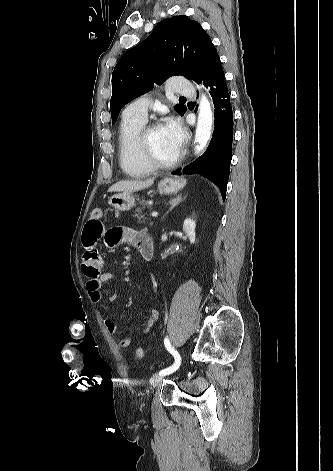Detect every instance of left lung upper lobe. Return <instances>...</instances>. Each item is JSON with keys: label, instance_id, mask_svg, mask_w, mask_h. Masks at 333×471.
Wrapping results in <instances>:
<instances>
[{"label": "left lung upper lobe", "instance_id": "obj_1", "mask_svg": "<svg viewBox=\"0 0 333 471\" xmlns=\"http://www.w3.org/2000/svg\"><path fill=\"white\" fill-rule=\"evenodd\" d=\"M216 52L201 25L187 16H174L159 22L139 45L128 50L112 74L110 102L112 124L120 110L134 98L160 85L173 75L197 81ZM183 115L187 108L175 105Z\"/></svg>", "mask_w": 333, "mask_h": 471}]
</instances>
